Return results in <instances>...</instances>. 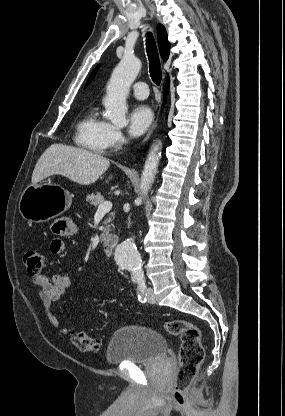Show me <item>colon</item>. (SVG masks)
Masks as SVG:
<instances>
[{
  "label": "colon",
  "mask_w": 285,
  "mask_h": 416,
  "mask_svg": "<svg viewBox=\"0 0 285 416\" xmlns=\"http://www.w3.org/2000/svg\"><path fill=\"white\" fill-rule=\"evenodd\" d=\"M44 260V256L34 250L24 254V264L31 276L40 274ZM164 329L168 334L181 339L179 368L172 384L171 396L178 407L184 408L190 403L189 390L205 356L201 332L195 324L185 320L168 321L164 324ZM68 336L80 351L97 353L100 349V341L85 331H71Z\"/></svg>",
  "instance_id": "5ec220e1"
}]
</instances>
